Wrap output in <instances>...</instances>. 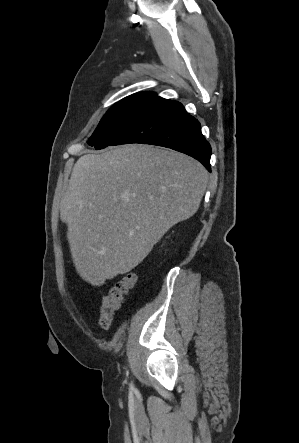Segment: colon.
<instances>
[{
    "mask_svg": "<svg viewBox=\"0 0 299 443\" xmlns=\"http://www.w3.org/2000/svg\"><path fill=\"white\" fill-rule=\"evenodd\" d=\"M135 282L136 276L129 273L103 295L99 310V321L103 328L108 329L111 326L115 312L122 306Z\"/></svg>",
    "mask_w": 299,
    "mask_h": 443,
    "instance_id": "1",
    "label": "colon"
}]
</instances>
